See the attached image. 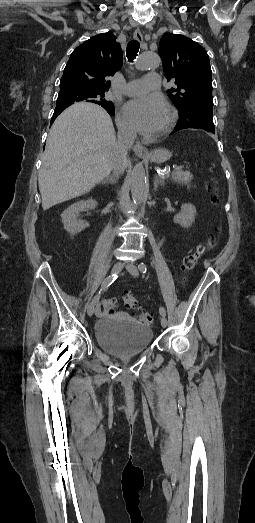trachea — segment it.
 Returning a JSON list of instances; mask_svg holds the SVG:
<instances>
[{
    "mask_svg": "<svg viewBox=\"0 0 255 523\" xmlns=\"http://www.w3.org/2000/svg\"><path fill=\"white\" fill-rule=\"evenodd\" d=\"M139 47H140V43L138 42V40H131L127 44L126 56L130 62H132V60H134L136 58L138 51H139Z\"/></svg>",
    "mask_w": 255,
    "mask_h": 523,
    "instance_id": "1",
    "label": "trachea"
}]
</instances>
